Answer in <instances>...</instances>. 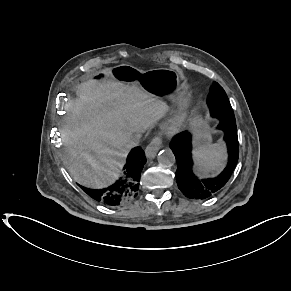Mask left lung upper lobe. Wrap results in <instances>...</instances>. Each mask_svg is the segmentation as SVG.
Instances as JSON below:
<instances>
[{"instance_id":"left-lung-upper-lobe-1","label":"left lung upper lobe","mask_w":291,"mask_h":291,"mask_svg":"<svg viewBox=\"0 0 291 291\" xmlns=\"http://www.w3.org/2000/svg\"><path fill=\"white\" fill-rule=\"evenodd\" d=\"M208 106L212 117H218L221 112L227 111L226 120L235 121L229 99L224 89L217 82H214L211 88L210 95L208 97Z\"/></svg>"}]
</instances>
